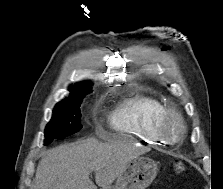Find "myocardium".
Here are the masks:
<instances>
[{
	"label": "myocardium",
	"mask_w": 223,
	"mask_h": 189,
	"mask_svg": "<svg viewBox=\"0 0 223 189\" xmlns=\"http://www.w3.org/2000/svg\"><path fill=\"white\" fill-rule=\"evenodd\" d=\"M172 121H177L181 128L180 135L176 138L171 137L169 132V126ZM157 129L163 140L168 144H177L181 142L187 133V125L184 117L179 111L172 108H168L163 112L159 118Z\"/></svg>",
	"instance_id": "1"
}]
</instances>
